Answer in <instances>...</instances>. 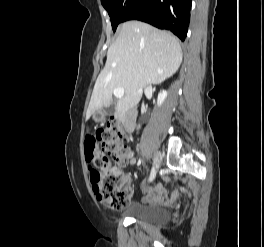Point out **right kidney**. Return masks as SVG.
I'll return each mask as SVG.
<instances>
[{
	"instance_id": "obj_1",
	"label": "right kidney",
	"mask_w": 264,
	"mask_h": 247,
	"mask_svg": "<svg viewBox=\"0 0 264 247\" xmlns=\"http://www.w3.org/2000/svg\"><path fill=\"white\" fill-rule=\"evenodd\" d=\"M167 97V91L163 90L158 94V98H157V104L158 106H161L162 103L164 102V100Z\"/></svg>"
}]
</instances>
